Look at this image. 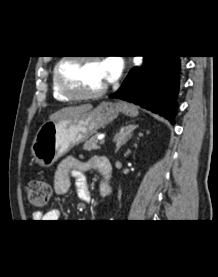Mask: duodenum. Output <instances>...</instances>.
<instances>
[{"instance_id":"duodenum-1","label":"duodenum","mask_w":218,"mask_h":277,"mask_svg":"<svg viewBox=\"0 0 218 277\" xmlns=\"http://www.w3.org/2000/svg\"><path fill=\"white\" fill-rule=\"evenodd\" d=\"M99 162L103 164H110V161L107 158L104 157H98ZM99 191L102 196H107L111 192V186L109 181L107 180H102L99 183Z\"/></svg>"}]
</instances>
